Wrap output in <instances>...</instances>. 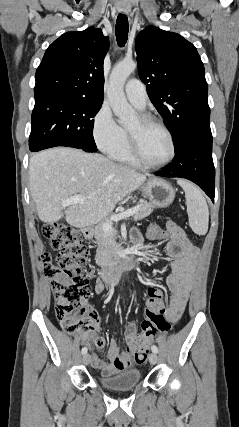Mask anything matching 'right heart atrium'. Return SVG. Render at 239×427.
I'll use <instances>...</instances> for the list:
<instances>
[{
    "instance_id": "d8ad5b80",
    "label": "right heart atrium",
    "mask_w": 239,
    "mask_h": 427,
    "mask_svg": "<svg viewBox=\"0 0 239 427\" xmlns=\"http://www.w3.org/2000/svg\"><path fill=\"white\" fill-rule=\"evenodd\" d=\"M92 135L97 147L110 155L119 148L125 138L123 128L116 122L111 110L102 106L93 119Z\"/></svg>"
}]
</instances>
